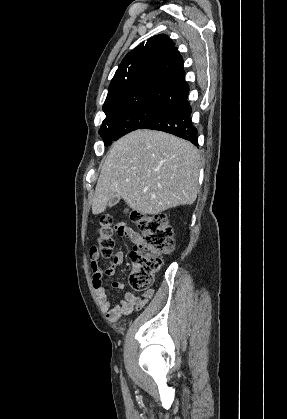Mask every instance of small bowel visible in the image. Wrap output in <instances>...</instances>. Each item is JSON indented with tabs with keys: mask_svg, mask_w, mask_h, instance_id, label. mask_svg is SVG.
I'll use <instances>...</instances> for the list:
<instances>
[{
	"mask_svg": "<svg viewBox=\"0 0 287 419\" xmlns=\"http://www.w3.org/2000/svg\"><path fill=\"white\" fill-rule=\"evenodd\" d=\"M119 235L128 237L133 243L137 244L141 236L125 223H119L117 226ZM99 253L97 249L91 251L90 267L92 270V281L98 301L101 304L106 317L116 322L124 316L130 315L134 310H141L153 297V293L148 291L142 296H138L132 292H127L123 299L119 302L111 304L105 291L104 276L111 277L115 275L119 266L123 263L124 254L118 251L113 258V263L106 269H103L98 261ZM111 286L115 289H124L125 284L122 282H113Z\"/></svg>",
	"mask_w": 287,
	"mask_h": 419,
	"instance_id": "small-bowel-1",
	"label": "small bowel"
}]
</instances>
